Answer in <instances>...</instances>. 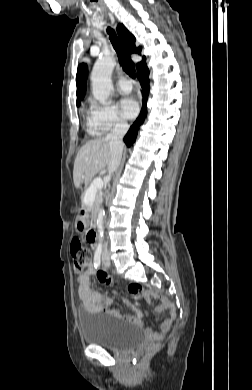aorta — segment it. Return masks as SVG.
Masks as SVG:
<instances>
[{
	"label": "aorta",
	"instance_id": "obj_1",
	"mask_svg": "<svg viewBox=\"0 0 252 390\" xmlns=\"http://www.w3.org/2000/svg\"><path fill=\"white\" fill-rule=\"evenodd\" d=\"M115 67V61L111 56L99 58L91 73L92 93L96 100L106 104L112 90L111 75ZM104 209H100L97 217L98 238L104 237Z\"/></svg>",
	"mask_w": 252,
	"mask_h": 390
}]
</instances>
